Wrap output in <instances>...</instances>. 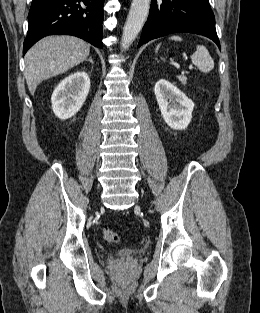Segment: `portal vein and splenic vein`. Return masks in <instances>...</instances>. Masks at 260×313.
<instances>
[{
    "label": "portal vein and splenic vein",
    "instance_id": "1",
    "mask_svg": "<svg viewBox=\"0 0 260 313\" xmlns=\"http://www.w3.org/2000/svg\"><path fill=\"white\" fill-rule=\"evenodd\" d=\"M189 68H190V69H192V68H193V66L191 65V66H189ZM182 74H184V72H182Z\"/></svg>",
    "mask_w": 260,
    "mask_h": 313
}]
</instances>
